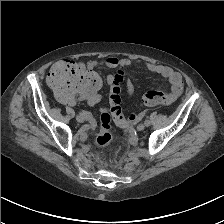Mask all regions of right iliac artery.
<instances>
[{"label":"right iliac artery","instance_id":"1","mask_svg":"<svg viewBox=\"0 0 224 224\" xmlns=\"http://www.w3.org/2000/svg\"><path fill=\"white\" fill-rule=\"evenodd\" d=\"M79 114L86 120H91L92 118L91 115L87 112H80Z\"/></svg>","mask_w":224,"mask_h":224}]
</instances>
